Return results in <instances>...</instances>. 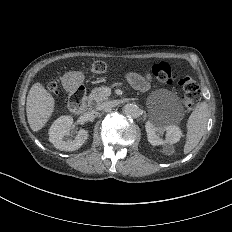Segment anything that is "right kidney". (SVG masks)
I'll list each match as a JSON object with an SVG mask.
<instances>
[{
	"label": "right kidney",
	"mask_w": 232,
	"mask_h": 232,
	"mask_svg": "<svg viewBox=\"0 0 232 232\" xmlns=\"http://www.w3.org/2000/svg\"><path fill=\"white\" fill-rule=\"evenodd\" d=\"M73 129V118L62 116L58 118L50 128V141L56 149L61 151H75L79 149L89 137V131L81 128L77 135L71 131Z\"/></svg>",
	"instance_id": "right-kidney-1"
}]
</instances>
